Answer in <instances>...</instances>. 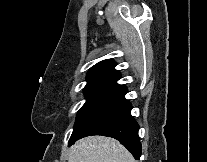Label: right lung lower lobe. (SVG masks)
<instances>
[{
	"label": "right lung lower lobe",
	"instance_id": "98d812e1",
	"mask_svg": "<svg viewBox=\"0 0 207 162\" xmlns=\"http://www.w3.org/2000/svg\"><path fill=\"white\" fill-rule=\"evenodd\" d=\"M127 89H115L85 119L69 140V146L80 138L90 135L109 136L119 140L139 160L141 144L138 136L139 125L131 116V103L125 99Z\"/></svg>",
	"mask_w": 207,
	"mask_h": 162
}]
</instances>
